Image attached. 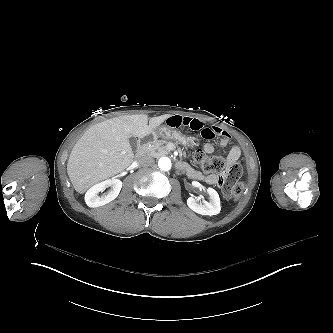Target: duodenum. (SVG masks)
Here are the masks:
<instances>
[{
  "label": "duodenum",
  "mask_w": 333,
  "mask_h": 333,
  "mask_svg": "<svg viewBox=\"0 0 333 333\" xmlns=\"http://www.w3.org/2000/svg\"><path fill=\"white\" fill-rule=\"evenodd\" d=\"M145 148H146V143H145L144 140H141V142L139 144L138 154H141L144 151ZM179 168L182 169V170H185L187 172V174L192 178H194L196 176L193 169L184 165V164H179Z\"/></svg>",
  "instance_id": "410a0bca"
}]
</instances>
